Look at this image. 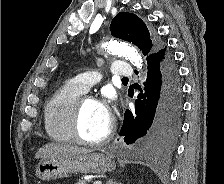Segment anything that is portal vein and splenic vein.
I'll return each mask as SVG.
<instances>
[{"mask_svg": "<svg viewBox=\"0 0 224 184\" xmlns=\"http://www.w3.org/2000/svg\"><path fill=\"white\" fill-rule=\"evenodd\" d=\"M93 184H102L101 181H95Z\"/></svg>", "mask_w": 224, "mask_h": 184, "instance_id": "portal-vein-and-splenic-vein-1", "label": "portal vein and splenic vein"}]
</instances>
